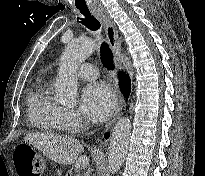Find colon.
I'll return each mask as SVG.
<instances>
[{"mask_svg": "<svg viewBox=\"0 0 205 176\" xmlns=\"http://www.w3.org/2000/svg\"><path fill=\"white\" fill-rule=\"evenodd\" d=\"M13 161L19 176H41L45 169L44 158L31 148L18 147Z\"/></svg>", "mask_w": 205, "mask_h": 176, "instance_id": "5ec220e1", "label": "colon"}]
</instances>
